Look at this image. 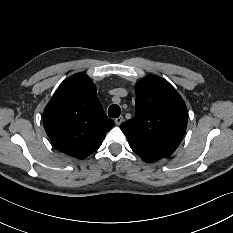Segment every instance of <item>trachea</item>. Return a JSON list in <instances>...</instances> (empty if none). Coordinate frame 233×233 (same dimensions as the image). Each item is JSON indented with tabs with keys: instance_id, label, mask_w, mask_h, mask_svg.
<instances>
[{
	"instance_id": "obj_1",
	"label": "trachea",
	"mask_w": 233,
	"mask_h": 233,
	"mask_svg": "<svg viewBox=\"0 0 233 233\" xmlns=\"http://www.w3.org/2000/svg\"><path fill=\"white\" fill-rule=\"evenodd\" d=\"M121 109L118 105L113 104L108 109V115L111 118H118L120 115Z\"/></svg>"
}]
</instances>
